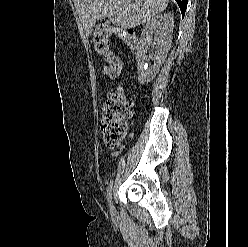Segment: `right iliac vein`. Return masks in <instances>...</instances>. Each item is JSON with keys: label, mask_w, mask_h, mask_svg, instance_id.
I'll return each mask as SVG.
<instances>
[{"label": "right iliac vein", "mask_w": 248, "mask_h": 247, "mask_svg": "<svg viewBox=\"0 0 248 247\" xmlns=\"http://www.w3.org/2000/svg\"><path fill=\"white\" fill-rule=\"evenodd\" d=\"M112 205V204H111ZM112 213H113V211H114V207H113V205H112V209L110 210Z\"/></svg>", "instance_id": "63e3f726"}]
</instances>
